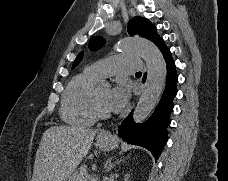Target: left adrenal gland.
<instances>
[{"mask_svg":"<svg viewBox=\"0 0 228 181\" xmlns=\"http://www.w3.org/2000/svg\"><path fill=\"white\" fill-rule=\"evenodd\" d=\"M122 161H125V159H122ZM117 163H121V161H117ZM116 163H106V171H111V169H113V167H115Z\"/></svg>","mask_w":228,"mask_h":181,"instance_id":"a2214340","label":"left adrenal gland"}]
</instances>
